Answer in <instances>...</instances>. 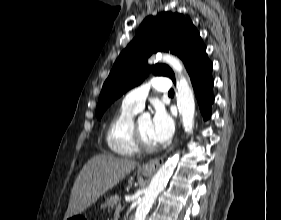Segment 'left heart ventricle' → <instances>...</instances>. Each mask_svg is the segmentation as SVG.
I'll return each mask as SVG.
<instances>
[{
	"instance_id": "obj_1",
	"label": "left heart ventricle",
	"mask_w": 281,
	"mask_h": 220,
	"mask_svg": "<svg viewBox=\"0 0 281 220\" xmlns=\"http://www.w3.org/2000/svg\"><path fill=\"white\" fill-rule=\"evenodd\" d=\"M137 124L144 141L149 145H156V142L153 140L151 136V121L142 120L139 121Z\"/></svg>"
}]
</instances>
